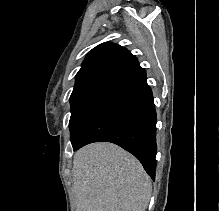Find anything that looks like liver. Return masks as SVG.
Listing matches in <instances>:
<instances>
[{"instance_id":"liver-1","label":"liver","mask_w":219,"mask_h":211,"mask_svg":"<svg viewBox=\"0 0 219 211\" xmlns=\"http://www.w3.org/2000/svg\"><path fill=\"white\" fill-rule=\"evenodd\" d=\"M72 181L75 211H145L152 191L140 161L109 141L74 153Z\"/></svg>"}]
</instances>
